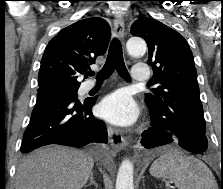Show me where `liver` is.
I'll list each match as a JSON object with an SVG mask.
<instances>
[{"label":"liver","mask_w":223,"mask_h":189,"mask_svg":"<svg viewBox=\"0 0 223 189\" xmlns=\"http://www.w3.org/2000/svg\"><path fill=\"white\" fill-rule=\"evenodd\" d=\"M94 167L83 151L49 146L25 157L17 169L16 189H81Z\"/></svg>","instance_id":"1"}]
</instances>
